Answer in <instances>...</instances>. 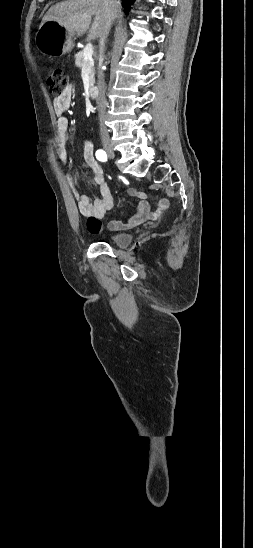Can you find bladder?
Here are the masks:
<instances>
[{
	"label": "bladder",
	"mask_w": 253,
	"mask_h": 548,
	"mask_svg": "<svg viewBox=\"0 0 253 548\" xmlns=\"http://www.w3.org/2000/svg\"><path fill=\"white\" fill-rule=\"evenodd\" d=\"M132 238L133 235L131 233L122 232L108 234L104 237V240L117 246H126L131 242Z\"/></svg>",
	"instance_id": "31cf9c89"
}]
</instances>
